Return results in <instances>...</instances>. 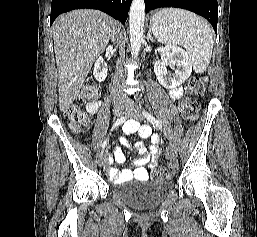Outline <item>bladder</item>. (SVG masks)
Segmentation results:
<instances>
[{
  "label": "bladder",
  "mask_w": 257,
  "mask_h": 237,
  "mask_svg": "<svg viewBox=\"0 0 257 237\" xmlns=\"http://www.w3.org/2000/svg\"><path fill=\"white\" fill-rule=\"evenodd\" d=\"M134 182L135 181H130V183ZM137 183L143 186L130 188L120 194L121 199L135 210H149L157 207L172 188L171 180L167 179L157 181L141 180Z\"/></svg>",
  "instance_id": "obj_1"
}]
</instances>
